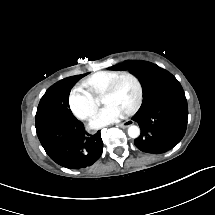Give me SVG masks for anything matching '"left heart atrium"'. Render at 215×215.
Listing matches in <instances>:
<instances>
[{
  "mask_svg": "<svg viewBox=\"0 0 215 215\" xmlns=\"http://www.w3.org/2000/svg\"><path fill=\"white\" fill-rule=\"evenodd\" d=\"M124 109L118 103H112L104 107L98 114L97 120L102 122H109L112 120H116L123 116Z\"/></svg>",
  "mask_w": 215,
  "mask_h": 215,
  "instance_id": "39dd6f15",
  "label": "left heart atrium"
}]
</instances>
